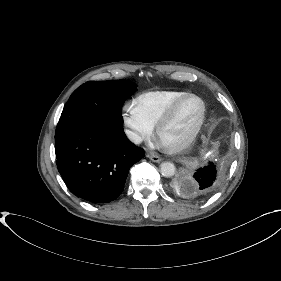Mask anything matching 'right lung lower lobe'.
I'll use <instances>...</instances> for the list:
<instances>
[{
    "mask_svg": "<svg viewBox=\"0 0 281 281\" xmlns=\"http://www.w3.org/2000/svg\"><path fill=\"white\" fill-rule=\"evenodd\" d=\"M143 151L126 139L121 126H81L55 135L57 168L66 186L92 203L110 202L122 193Z\"/></svg>",
    "mask_w": 281,
    "mask_h": 281,
    "instance_id": "obj_1",
    "label": "right lung lower lobe"
}]
</instances>
